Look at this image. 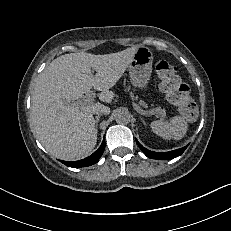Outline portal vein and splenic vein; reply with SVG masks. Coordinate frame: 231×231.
<instances>
[{"instance_id": "1", "label": "portal vein and splenic vein", "mask_w": 231, "mask_h": 231, "mask_svg": "<svg viewBox=\"0 0 231 231\" xmlns=\"http://www.w3.org/2000/svg\"><path fill=\"white\" fill-rule=\"evenodd\" d=\"M94 96L95 94L94 93H87L85 95V97L82 99V100H78V101H75L73 103V105H77V106H80V105H86V104H92L94 102ZM134 109L142 114V115H150V114H153L154 112L153 111H145L143 110L142 108H140L136 103H132Z\"/></svg>"}]
</instances>
